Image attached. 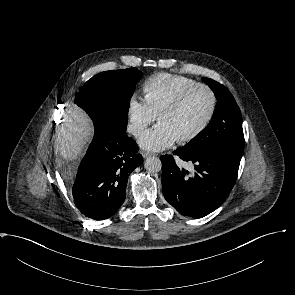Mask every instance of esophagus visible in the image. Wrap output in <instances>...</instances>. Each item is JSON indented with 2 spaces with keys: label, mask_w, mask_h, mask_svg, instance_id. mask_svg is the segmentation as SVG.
<instances>
[{
  "label": "esophagus",
  "mask_w": 295,
  "mask_h": 295,
  "mask_svg": "<svg viewBox=\"0 0 295 295\" xmlns=\"http://www.w3.org/2000/svg\"><path fill=\"white\" fill-rule=\"evenodd\" d=\"M141 154H142L143 158H147V157H149V156H152V155H153V153H151V152H148V151H142V152H141Z\"/></svg>",
  "instance_id": "1"
}]
</instances>
